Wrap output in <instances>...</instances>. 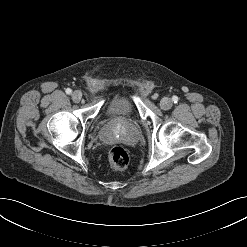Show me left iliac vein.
Instances as JSON below:
<instances>
[{
    "mask_svg": "<svg viewBox=\"0 0 247 247\" xmlns=\"http://www.w3.org/2000/svg\"><path fill=\"white\" fill-rule=\"evenodd\" d=\"M173 105V102L170 98H163L161 101H160V107L161 109L163 110H169Z\"/></svg>",
    "mask_w": 247,
    "mask_h": 247,
    "instance_id": "left-iliac-vein-1",
    "label": "left iliac vein"
}]
</instances>
